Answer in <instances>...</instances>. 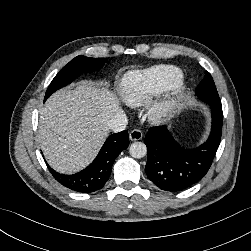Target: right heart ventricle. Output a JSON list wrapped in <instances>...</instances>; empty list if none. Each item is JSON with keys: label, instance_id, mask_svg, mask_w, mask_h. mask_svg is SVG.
<instances>
[{"label": "right heart ventricle", "instance_id": "1", "mask_svg": "<svg viewBox=\"0 0 251 251\" xmlns=\"http://www.w3.org/2000/svg\"><path fill=\"white\" fill-rule=\"evenodd\" d=\"M182 76L181 69L173 65L130 71L120 80V96L127 105L138 107L175 85Z\"/></svg>", "mask_w": 251, "mask_h": 251}]
</instances>
